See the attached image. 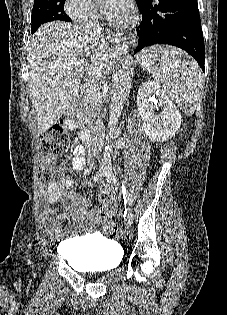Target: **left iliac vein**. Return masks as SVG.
Instances as JSON below:
<instances>
[{
    "label": "left iliac vein",
    "instance_id": "1",
    "mask_svg": "<svg viewBox=\"0 0 227 315\" xmlns=\"http://www.w3.org/2000/svg\"><path fill=\"white\" fill-rule=\"evenodd\" d=\"M134 215L131 210H129L126 214L125 224L126 226H130L133 222Z\"/></svg>",
    "mask_w": 227,
    "mask_h": 315
}]
</instances>
